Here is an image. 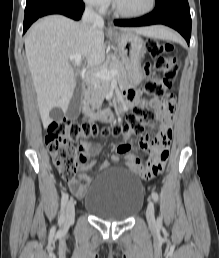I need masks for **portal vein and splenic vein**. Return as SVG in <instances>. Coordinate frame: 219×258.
I'll list each match as a JSON object with an SVG mask.
<instances>
[{
	"label": "portal vein and splenic vein",
	"mask_w": 219,
	"mask_h": 258,
	"mask_svg": "<svg viewBox=\"0 0 219 258\" xmlns=\"http://www.w3.org/2000/svg\"><path fill=\"white\" fill-rule=\"evenodd\" d=\"M81 55H75L70 57L71 60L75 61L76 65H80L81 64ZM118 71L116 69H111V70H107V69H100L94 73H92V77L94 78H102V79H109L110 77H113L115 75H117Z\"/></svg>",
	"instance_id": "1"
}]
</instances>
